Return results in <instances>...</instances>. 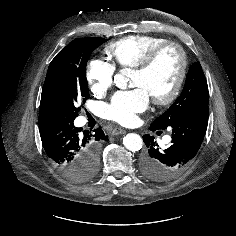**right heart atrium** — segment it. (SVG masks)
I'll list each match as a JSON object with an SVG mask.
<instances>
[{
  "mask_svg": "<svg viewBox=\"0 0 236 236\" xmlns=\"http://www.w3.org/2000/svg\"><path fill=\"white\" fill-rule=\"evenodd\" d=\"M115 66L99 57L91 58L85 69L86 82L96 95L106 93L113 83Z\"/></svg>",
  "mask_w": 236,
  "mask_h": 236,
  "instance_id": "obj_1",
  "label": "right heart atrium"
}]
</instances>
